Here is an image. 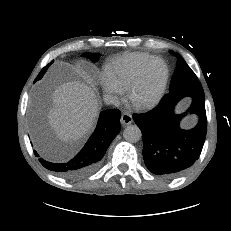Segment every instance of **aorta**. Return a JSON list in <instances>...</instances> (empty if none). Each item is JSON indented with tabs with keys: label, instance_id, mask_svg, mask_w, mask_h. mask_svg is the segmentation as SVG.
Masks as SVG:
<instances>
[{
	"label": "aorta",
	"instance_id": "1",
	"mask_svg": "<svg viewBox=\"0 0 231 231\" xmlns=\"http://www.w3.org/2000/svg\"><path fill=\"white\" fill-rule=\"evenodd\" d=\"M123 137L127 142L136 143L141 139L142 133L137 125H129L124 129Z\"/></svg>",
	"mask_w": 231,
	"mask_h": 231
}]
</instances>
